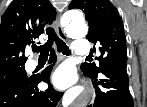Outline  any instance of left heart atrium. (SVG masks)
<instances>
[{
    "label": "left heart atrium",
    "instance_id": "obj_1",
    "mask_svg": "<svg viewBox=\"0 0 147 107\" xmlns=\"http://www.w3.org/2000/svg\"><path fill=\"white\" fill-rule=\"evenodd\" d=\"M75 80L76 74L73 68L67 65L59 67L53 75V83L60 89L69 87Z\"/></svg>",
    "mask_w": 147,
    "mask_h": 107
}]
</instances>
